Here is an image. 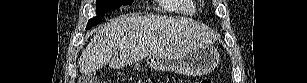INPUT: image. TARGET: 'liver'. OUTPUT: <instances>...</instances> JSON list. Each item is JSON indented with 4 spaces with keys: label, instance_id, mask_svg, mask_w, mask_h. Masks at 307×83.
<instances>
[{
    "label": "liver",
    "instance_id": "liver-1",
    "mask_svg": "<svg viewBox=\"0 0 307 83\" xmlns=\"http://www.w3.org/2000/svg\"><path fill=\"white\" fill-rule=\"evenodd\" d=\"M215 40L211 29L193 20L122 15L100 27L82 52L79 68L87 75L107 64L121 68L147 56L172 55ZM117 50L119 58L113 57Z\"/></svg>",
    "mask_w": 307,
    "mask_h": 83
}]
</instances>
